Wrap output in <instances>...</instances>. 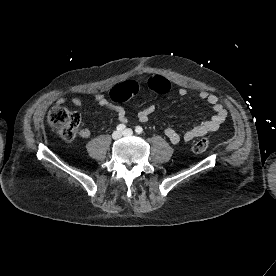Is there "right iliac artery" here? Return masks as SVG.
<instances>
[{
  "instance_id": "1",
  "label": "right iliac artery",
  "mask_w": 276,
  "mask_h": 276,
  "mask_svg": "<svg viewBox=\"0 0 276 276\" xmlns=\"http://www.w3.org/2000/svg\"><path fill=\"white\" fill-rule=\"evenodd\" d=\"M125 128H126V126H125L124 124H119V125L117 126V130H118V131H123V130H125Z\"/></svg>"
}]
</instances>
